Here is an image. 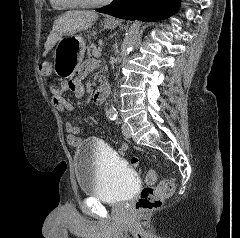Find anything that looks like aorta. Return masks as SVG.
I'll list each match as a JSON object with an SVG mask.
<instances>
[{"mask_svg": "<svg viewBox=\"0 0 240 238\" xmlns=\"http://www.w3.org/2000/svg\"><path fill=\"white\" fill-rule=\"evenodd\" d=\"M140 29V22L134 21L133 24L130 26L129 30L125 34V38L121 45V50L119 53V59H123L131 50L135 44L137 35ZM108 113L111 115L116 114V109L112 106L109 108Z\"/></svg>", "mask_w": 240, "mask_h": 238, "instance_id": "aorta-1", "label": "aorta"}]
</instances>
